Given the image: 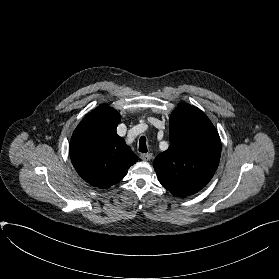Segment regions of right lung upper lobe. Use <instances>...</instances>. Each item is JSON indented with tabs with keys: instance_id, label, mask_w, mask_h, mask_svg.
<instances>
[{
	"instance_id": "cb5924a9",
	"label": "right lung upper lobe",
	"mask_w": 279,
	"mask_h": 279,
	"mask_svg": "<svg viewBox=\"0 0 279 279\" xmlns=\"http://www.w3.org/2000/svg\"><path fill=\"white\" fill-rule=\"evenodd\" d=\"M120 120L116 110L100 105L74 130L71 161L80 177L92 186L104 189L119 182L138 159L117 135Z\"/></svg>"
}]
</instances>
